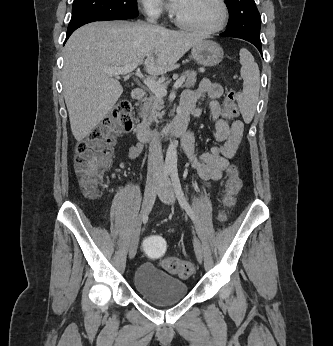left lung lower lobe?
Instances as JSON below:
<instances>
[{"mask_svg": "<svg viewBox=\"0 0 333 346\" xmlns=\"http://www.w3.org/2000/svg\"><path fill=\"white\" fill-rule=\"evenodd\" d=\"M221 36H228V37H235V38H241L244 39L246 41H249L250 43H252L253 45L256 46V48L259 50V52L262 54V47H261V41L259 40H254V39H250L248 37H245L243 35L237 34V33H233V32H223L220 34Z\"/></svg>", "mask_w": 333, "mask_h": 346, "instance_id": "left-lung-lower-lobe-1", "label": "left lung lower lobe"}]
</instances>
